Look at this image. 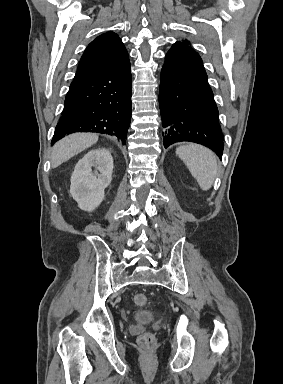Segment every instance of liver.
<instances>
[{
	"label": "liver",
	"instance_id": "1",
	"mask_svg": "<svg viewBox=\"0 0 283 384\" xmlns=\"http://www.w3.org/2000/svg\"><path fill=\"white\" fill-rule=\"evenodd\" d=\"M98 142V134H71L66 136L63 140H59L53 146L51 154V166L57 168L63 162H67L79 152L87 150L93 144Z\"/></svg>",
	"mask_w": 283,
	"mask_h": 384
}]
</instances>
